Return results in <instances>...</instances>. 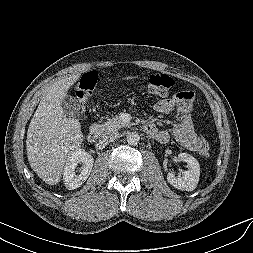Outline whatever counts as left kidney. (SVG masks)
I'll list each match as a JSON object with an SVG mask.
<instances>
[{"label":"left kidney","mask_w":253,"mask_h":253,"mask_svg":"<svg viewBox=\"0 0 253 253\" xmlns=\"http://www.w3.org/2000/svg\"><path fill=\"white\" fill-rule=\"evenodd\" d=\"M180 161L187 163L188 170L182 172V177H176L173 172H168L167 180L175 188L183 191H193L198 184L200 176L199 162L187 153L178 154Z\"/></svg>","instance_id":"obj_1"}]
</instances>
